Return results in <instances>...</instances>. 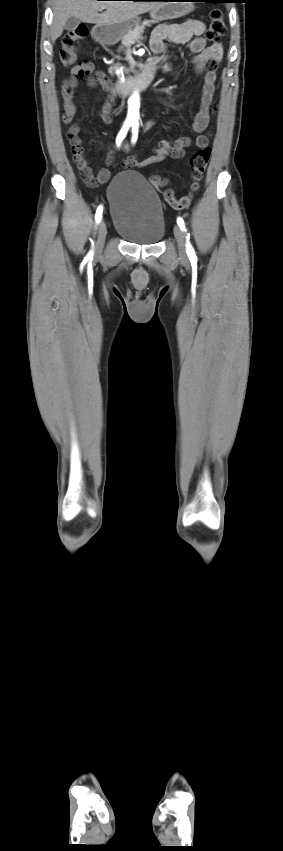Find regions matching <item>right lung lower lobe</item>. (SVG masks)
<instances>
[{
    "mask_svg": "<svg viewBox=\"0 0 283 851\" xmlns=\"http://www.w3.org/2000/svg\"><path fill=\"white\" fill-rule=\"evenodd\" d=\"M133 1H158V0H133Z\"/></svg>",
    "mask_w": 283,
    "mask_h": 851,
    "instance_id": "98d812e1",
    "label": "right lung lower lobe"
}]
</instances>
